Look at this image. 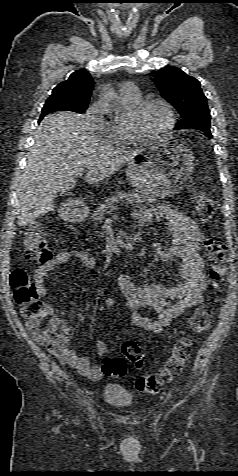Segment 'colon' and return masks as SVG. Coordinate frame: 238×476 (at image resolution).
Here are the masks:
<instances>
[{"label":"colon","mask_w":238,"mask_h":476,"mask_svg":"<svg viewBox=\"0 0 238 476\" xmlns=\"http://www.w3.org/2000/svg\"><path fill=\"white\" fill-rule=\"evenodd\" d=\"M194 211L197 219L204 224L212 223L218 215L216 202L203 193H198L194 199ZM47 231L41 226L33 227L25 238L23 258L28 262H46L52 257L47 243ZM208 263V278L211 286L219 288L225 279L229 261V251L225 243L214 236H208L204 241ZM10 284L13 290L14 301L19 307L20 314L25 319L30 333L35 339L43 343L50 351L56 353L62 350L71 336L68 328L52 329L44 327L49 316L48 308L43 304L36 290L35 283L23 269H15L10 275ZM211 309L207 306L199 307L191 318V328L195 333H204L211 326ZM191 340L187 337L179 339L164 367L154 374L140 376L136 381V388L140 391L155 394L164 384L178 376L187 363ZM124 357L106 358L102 369L106 376L123 377L127 372V363L137 368L145 362V350L136 342L123 344Z\"/></svg>","instance_id":"1"}]
</instances>
